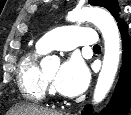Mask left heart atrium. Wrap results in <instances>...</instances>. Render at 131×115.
I'll return each mask as SVG.
<instances>
[{
  "instance_id": "left-heart-atrium-1",
  "label": "left heart atrium",
  "mask_w": 131,
  "mask_h": 115,
  "mask_svg": "<svg viewBox=\"0 0 131 115\" xmlns=\"http://www.w3.org/2000/svg\"><path fill=\"white\" fill-rule=\"evenodd\" d=\"M89 82V73L82 60L72 57L58 71L54 87L65 96H75L85 90Z\"/></svg>"
}]
</instances>
